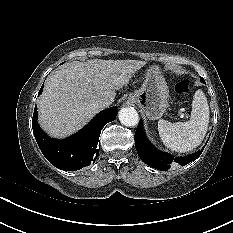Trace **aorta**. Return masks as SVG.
Returning <instances> with one entry per match:
<instances>
[{"mask_svg": "<svg viewBox=\"0 0 233 233\" xmlns=\"http://www.w3.org/2000/svg\"><path fill=\"white\" fill-rule=\"evenodd\" d=\"M120 122L128 127H134L139 122V115L137 111L132 107H125L119 111Z\"/></svg>", "mask_w": 233, "mask_h": 233, "instance_id": "1", "label": "aorta"}]
</instances>
